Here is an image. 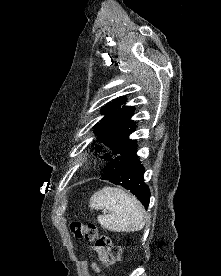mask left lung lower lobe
Wrapping results in <instances>:
<instances>
[{
  "label": "left lung lower lobe",
  "instance_id": "0a47b994",
  "mask_svg": "<svg viewBox=\"0 0 221 276\" xmlns=\"http://www.w3.org/2000/svg\"><path fill=\"white\" fill-rule=\"evenodd\" d=\"M137 148L136 143L112 156L102 170L101 179L130 190L147 209L150 192L143 180L144 167L138 159Z\"/></svg>",
  "mask_w": 221,
  "mask_h": 276
}]
</instances>
